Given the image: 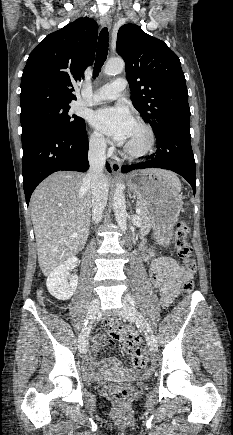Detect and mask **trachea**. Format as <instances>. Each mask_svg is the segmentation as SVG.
I'll return each mask as SVG.
<instances>
[{
  "mask_svg": "<svg viewBox=\"0 0 233 435\" xmlns=\"http://www.w3.org/2000/svg\"><path fill=\"white\" fill-rule=\"evenodd\" d=\"M108 36H109L108 29L105 27L101 30L99 34L96 59H95L94 70H93L94 78L98 76V73L107 58L108 47H109Z\"/></svg>",
  "mask_w": 233,
  "mask_h": 435,
  "instance_id": "1",
  "label": "trachea"
}]
</instances>
